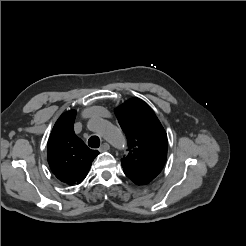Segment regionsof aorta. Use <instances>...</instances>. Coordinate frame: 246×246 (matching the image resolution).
<instances>
[{
  "instance_id": "762f6f07",
  "label": "aorta",
  "mask_w": 246,
  "mask_h": 246,
  "mask_svg": "<svg viewBox=\"0 0 246 246\" xmlns=\"http://www.w3.org/2000/svg\"><path fill=\"white\" fill-rule=\"evenodd\" d=\"M92 128L113 146H123L124 136L121 130L109 123L108 121L100 118H95L92 120Z\"/></svg>"
}]
</instances>
